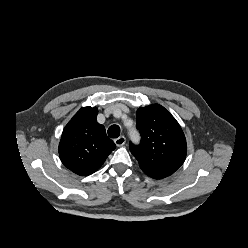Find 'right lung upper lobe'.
<instances>
[{"label":"right lung upper lobe","instance_id":"cb5924a9","mask_svg":"<svg viewBox=\"0 0 248 248\" xmlns=\"http://www.w3.org/2000/svg\"><path fill=\"white\" fill-rule=\"evenodd\" d=\"M96 107H83L68 122L59 143L62 163L72 172L88 176L98 170L116 148L96 120Z\"/></svg>","mask_w":248,"mask_h":248}]
</instances>
